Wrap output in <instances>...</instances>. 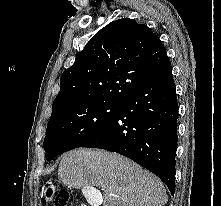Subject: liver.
<instances>
[{
	"label": "liver",
	"instance_id": "liver-1",
	"mask_svg": "<svg viewBox=\"0 0 221 206\" xmlns=\"http://www.w3.org/2000/svg\"><path fill=\"white\" fill-rule=\"evenodd\" d=\"M59 179L89 193L99 187L103 206H164L168 197L162 181L137 163L116 153L79 148L65 153Z\"/></svg>",
	"mask_w": 221,
	"mask_h": 206
}]
</instances>
